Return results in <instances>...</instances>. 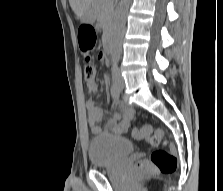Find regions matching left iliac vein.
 <instances>
[{
    "mask_svg": "<svg viewBox=\"0 0 223 191\" xmlns=\"http://www.w3.org/2000/svg\"><path fill=\"white\" fill-rule=\"evenodd\" d=\"M118 87L120 90L124 88V80L122 79V77H119L118 79Z\"/></svg>",
    "mask_w": 223,
    "mask_h": 191,
    "instance_id": "1",
    "label": "left iliac vein"
}]
</instances>
